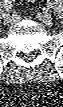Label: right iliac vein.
Here are the masks:
<instances>
[{"mask_svg": "<svg viewBox=\"0 0 63 107\" xmlns=\"http://www.w3.org/2000/svg\"><path fill=\"white\" fill-rule=\"evenodd\" d=\"M11 22H12V17H11V15L8 14V13H6V14L4 15V23H5V24H9V23H11Z\"/></svg>", "mask_w": 63, "mask_h": 107, "instance_id": "1", "label": "right iliac vein"}]
</instances>
